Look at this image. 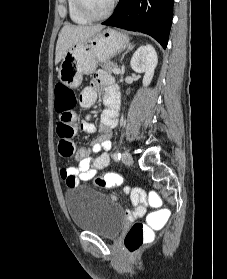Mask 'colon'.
I'll list each match as a JSON object with an SVG mask.
<instances>
[{"label": "colon", "mask_w": 227, "mask_h": 279, "mask_svg": "<svg viewBox=\"0 0 227 279\" xmlns=\"http://www.w3.org/2000/svg\"><path fill=\"white\" fill-rule=\"evenodd\" d=\"M76 106L75 92L63 85L57 87V99L55 103V110L60 120L59 132L64 139H70L73 135L74 128L71 124L73 118V109ZM73 147L71 144H66L60 155L62 157H70L72 155ZM123 184V177L120 173L109 172L95 178V185L99 188H111ZM70 185L72 187L77 185V181L71 178ZM154 200L161 201L162 197L155 192L149 193ZM135 195L139 198H144L146 193L143 190L135 191ZM169 212L164 210V217H168ZM151 218H156L153 214ZM152 229L141 222L134 223L125 239V246L129 253H136L142 244L151 237Z\"/></svg>", "instance_id": "1"}]
</instances>
